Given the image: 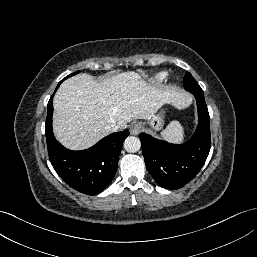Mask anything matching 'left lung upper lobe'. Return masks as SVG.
Here are the masks:
<instances>
[{
  "instance_id": "5c2ea615",
  "label": "left lung upper lobe",
  "mask_w": 257,
  "mask_h": 257,
  "mask_svg": "<svg viewBox=\"0 0 257 257\" xmlns=\"http://www.w3.org/2000/svg\"><path fill=\"white\" fill-rule=\"evenodd\" d=\"M184 88L193 94H204L197 81L189 72L184 76Z\"/></svg>"
}]
</instances>
